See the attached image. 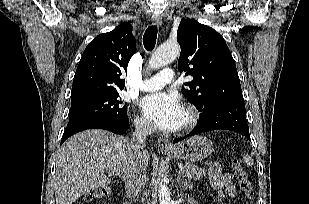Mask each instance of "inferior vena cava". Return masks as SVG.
<instances>
[{
    "instance_id": "1",
    "label": "inferior vena cava",
    "mask_w": 309,
    "mask_h": 204,
    "mask_svg": "<svg viewBox=\"0 0 309 204\" xmlns=\"http://www.w3.org/2000/svg\"><path fill=\"white\" fill-rule=\"evenodd\" d=\"M153 126L147 121L135 123V131L130 144L134 154V162L125 177L126 195L135 197L147 182L146 137L153 131Z\"/></svg>"
}]
</instances>
